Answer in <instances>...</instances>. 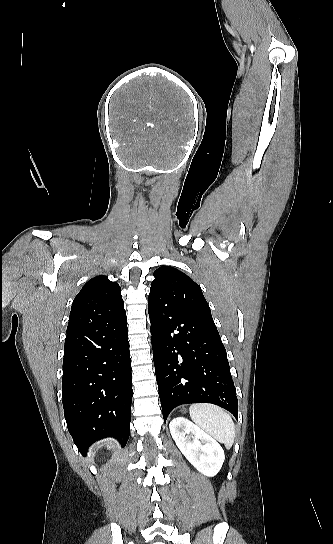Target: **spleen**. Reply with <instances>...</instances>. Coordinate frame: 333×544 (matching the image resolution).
Returning a JSON list of instances; mask_svg holds the SVG:
<instances>
[{
	"instance_id": "1",
	"label": "spleen",
	"mask_w": 333,
	"mask_h": 544,
	"mask_svg": "<svg viewBox=\"0 0 333 544\" xmlns=\"http://www.w3.org/2000/svg\"><path fill=\"white\" fill-rule=\"evenodd\" d=\"M191 419L203 430L212 435L227 449H230L235 439V425L231 416L214 404H193L189 408Z\"/></svg>"
}]
</instances>
